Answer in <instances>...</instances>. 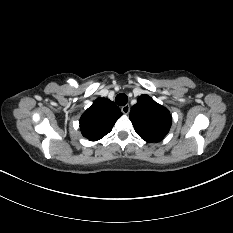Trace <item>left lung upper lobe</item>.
Instances as JSON below:
<instances>
[{
  "mask_svg": "<svg viewBox=\"0 0 233 233\" xmlns=\"http://www.w3.org/2000/svg\"><path fill=\"white\" fill-rule=\"evenodd\" d=\"M130 120L139 136L147 142H159L169 132L170 112L148 95H141L132 107Z\"/></svg>",
  "mask_w": 233,
  "mask_h": 233,
  "instance_id": "1",
  "label": "left lung upper lobe"
}]
</instances>
